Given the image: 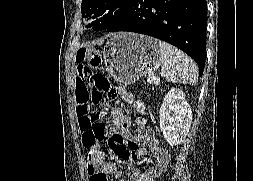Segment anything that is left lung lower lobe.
Wrapping results in <instances>:
<instances>
[{"label":"left lung lower lobe","mask_w":253,"mask_h":181,"mask_svg":"<svg viewBox=\"0 0 253 181\" xmlns=\"http://www.w3.org/2000/svg\"><path fill=\"white\" fill-rule=\"evenodd\" d=\"M206 0H133L127 13L108 32L146 34L181 49L198 64L206 56Z\"/></svg>","instance_id":"1"}]
</instances>
